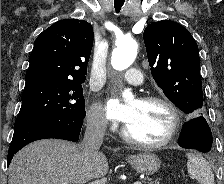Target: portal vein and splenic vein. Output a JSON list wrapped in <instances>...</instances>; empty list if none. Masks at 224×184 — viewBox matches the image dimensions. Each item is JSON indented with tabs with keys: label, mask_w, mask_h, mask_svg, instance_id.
I'll use <instances>...</instances> for the list:
<instances>
[{
	"label": "portal vein and splenic vein",
	"mask_w": 224,
	"mask_h": 184,
	"mask_svg": "<svg viewBox=\"0 0 224 184\" xmlns=\"http://www.w3.org/2000/svg\"><path fill=\"white\" fill-rule=\"evenodd\" d=\"M68 184V183H65ZM134 184H142L140 181L134 182Z\"/></svg>",
	"instance_id": "portal-vein-and-splenic-vein-1"
}]
</instances>
